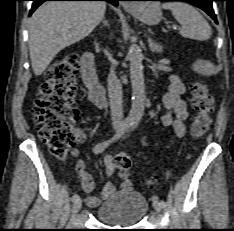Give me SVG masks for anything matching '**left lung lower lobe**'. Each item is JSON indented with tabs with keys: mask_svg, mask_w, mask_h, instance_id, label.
<instances>
[{
	"mask_svg": "<svg viewBox=\"0 0 234 231\" xmlns=\"http://www.w3.org/2000/svg\"><path fill=\"white\" fill-rule=\"evenodd\" d=\"M140 1H184L191 3L202 10H204L208 15H210L215 22H217L216 15L214 14L213 8H212V1L215 0H140Z\"/></svg>",
	"mask_w": 234,
	"mask_h": 231,
	"instance_id": "1",
	"label": "left lung lower lobe"
}]
</instances>
